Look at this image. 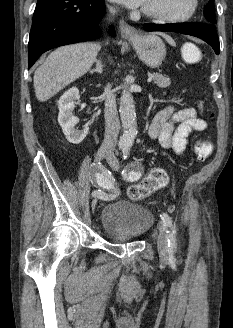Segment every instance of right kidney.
Wrapping results in <instances>:
<instances>
[{
  "label": "right kidney",
  "mask_w": 233,
  "mask_h": 328,
  "mask_svg": "<svg viewBox=\"0 0 233 328\" xmlns=\"http://www.w3.org/2000/svg\"><path fill=\"white\" fill-rule=\"evenodd\" d=\"M80 98L79 90L76 87L68 89L59 99L58 122L67 140L73 144L83 141L89 132V127L84 126L82 130L75 129L78 119L73 115L75 101Z\"/></svg>",
  "instance_id": "1"
}]
</instances>
